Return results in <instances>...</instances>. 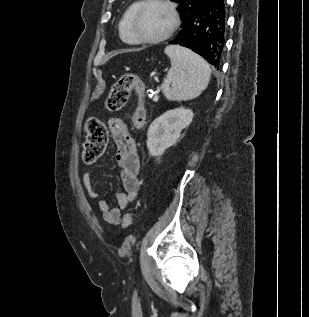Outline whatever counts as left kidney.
<instances>
[{
	"mask_svg": "<svg viewBox=\"0 0 309 317\" xmlns=\"http://www.w3.org/2000/svg\"><path fill=\"white\" fill-rule=\"evenodd\" d=\"M193 120L190 109L180 107L172 109L157 117L147 132V148L152 156H161L166 149L173 146L181 131Z\"/></svg>",
	"mask_w": 309,
	"mask_h": 317,
	"instance_id": "1",
	"label": "left kidney"
}]
</instances>
